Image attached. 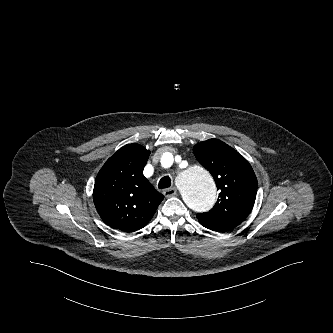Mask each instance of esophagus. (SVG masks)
<instances>
[{
    "label": "esophagus",
    "instance_id": "1",
    "mask_svg": "<svg viewBox=\"0 0 333 333\" xmlns=\"http://www.w3.org/2000/svg\"><path fill=\"white\" fill-rule=\"evenodd\" d=\"M164 196L169 198L177 195V189L176 187H170L164 190L163 192Z\"/></svg>",
    "mask_w": 333,
    "mask_h": 333
}]
</instances>
